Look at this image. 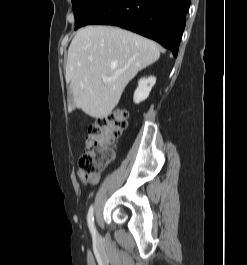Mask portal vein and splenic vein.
<instances>
[{"label": "portal vein and splenic vein", "mask_w": 247, "mask_h": 265, "mask_svg": "<svg viewBox=\"0 0 247 265\" xmlns=\"http://www.w3.org/2000/svg\"><path fill=\"white\" fill-rule=\"evenodd\" d=\"M103 80H105V81H106V80H109V79H108V78H106V77H103Z\"/></svg>", "instance_id": "1"}]
</instances>
